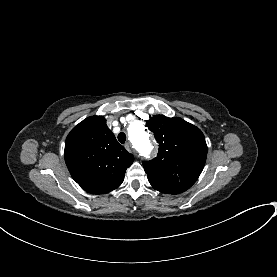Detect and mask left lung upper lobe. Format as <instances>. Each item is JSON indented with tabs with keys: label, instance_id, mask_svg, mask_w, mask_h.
<instances>
[{
	"label": "left lung upper lobe",
	"instance_id": "left-lung-upper-lobe-1",
	"mask_svg": "<svg viewBox=\"0 0 277 277\" xmlns=\"http://www.w3.org/2000/svg\"><path fill=\"white\" fill-rule=\"evenodd\" d=\"M148 128L159 143L156 158L143 162L152 187L165 194L190 188L205 165L207 145L200 129L181 118L153 116Z\"/></svg>",
	"mask_w": 277,
	"mask_h": 277
}]
</instances>
